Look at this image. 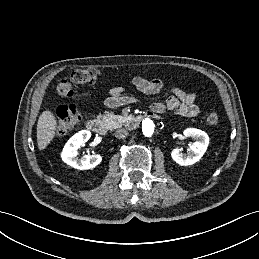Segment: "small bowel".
<instances>
[{"mask_svg": "<svg viewBox=\"0 0 259 259\" xmlns=\"http://www.w3.org/2000/svg\"><path fill=\"white\" fill-rule=\"evenodd\" d=\"M132 82L138 91L147 95L157 94L163 88V81L158 78L148 80L142 76H135ZM134 102L135 99L126 95L123 87H115L111 89L110 95L104 101V105L107 108H116ZM150 109L156 115H160L166 110H178L179 114L184 117H194L199 112L196 105V95L187 93L177 87L172 89V93L166 101L152 102Z\"/></svg>", "mask_w": 259, "mask_h": 259, "instance_id": "obj_1", "label": "small bowel"}]
</instances>
